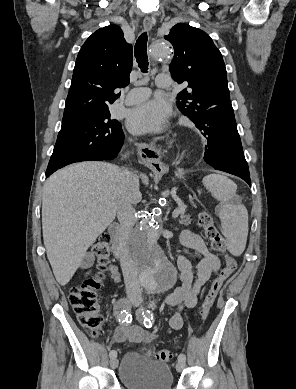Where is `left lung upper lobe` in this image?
I'll use <instances>...</instances> for the list:
<instances>
[{"label": "left lung upper lobe", "instance_id": "left-lung-upper-lobe-1", "mask_svg": "<svg viewBox=\"0 0 296 389\" xmlns=\"http://www.w3.org/2000/svg\"><path fill=\"white\" fill-rule=\"evenodd\" d=\"M164 38L174 47L172 77L188 83V90L178 94L177 106L201 130L209 110L231 102L222 55L207 33L188 24H176Z\"/></svg>", "mask_w": 296, "mask_h": 389}]
</instances>
